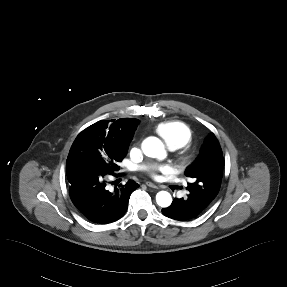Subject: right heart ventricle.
I'll use <instances>...</instances> for the list:
<instances>
[{
    "instance_id": "obj_1",
    "label": "right heart ventricle",
    "mask_w": 287,
    "mask_h": 287,
    "mask_svg": "<svg viewBox=\"0 0 287 287\" xmlns=\"http://www.w3.org/2000/svg\"><path fill=\"white\" fill-rule=\"evenodd\" d=\"M156 133L162 138L170 150H178L188 145L192 139L190 127L179 120L159 123Z\"/></svg>"
}]
</instances>
